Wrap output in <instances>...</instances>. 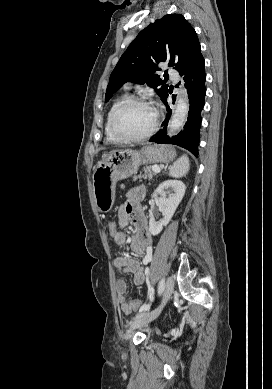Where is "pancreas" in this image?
<instances>
[{"label": "pancreas", "mask_w": 272, "mask_h": 389, "mask_svg": "<svg viewBox=\"0 0 272 389\" xmlns=\"http://www.w3.org/2000/svg\"><path fill=\"white\" fill-rule=\"evenodd\" d=\"M143 172H144V174L140 173V175L138 177H134V180H136L137 178H147V177L150 179L154 175V173L152 172V166L144 167Z\"/></svg>", "instance_id": "obj_1"}]
</instances>
